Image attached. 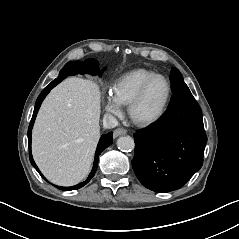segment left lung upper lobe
<instances>
[{
    "mask_svg": "<svg viewBox=\"0 0 239 239\" xmlns=\"http://www.w3.org/2000/svg\"><path fill=\"white\" fill-rule=\"evenodd\" d=\"M170 80H171L173 91H176L178 89L188 88L183 80L182 74L176 68H172Z\"/></svg>",
    "mask_w": 239,
    "mask_h": 239,
    "instance_id": "5c2ea615",
    "label": "left lung upper lobe"
}]
</instances>
